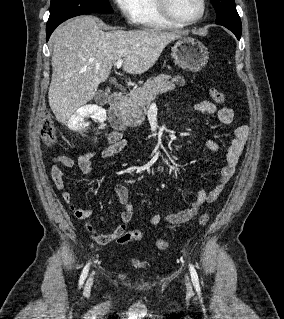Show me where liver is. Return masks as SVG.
<instances>
[{
  "mask_svg": "<svg viewBox=\"0 0 284 319\" xmlns=\"http://www.w3.org/2000/svg\"><path fill=\"white\" fill-rule=\"evenodd\" d=\"M178 38L179 33L153 29L104 32L92 16L61 24L51 36L53 72L48 99L55 117L65 123L91 101L118 59L124 60L126 73H144Z\"/></svg>",
  "mask_w": 284,
  "mask_h": 319,
  "instance_id": "1",
  "label": "liver"
}]
</instances>
